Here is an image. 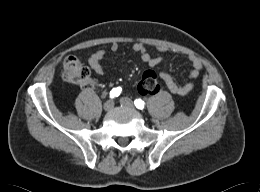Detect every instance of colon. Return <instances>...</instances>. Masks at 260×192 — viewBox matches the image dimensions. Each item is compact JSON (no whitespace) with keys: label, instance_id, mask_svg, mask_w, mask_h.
<instances>
[{"label":"colon","instance_id":"colon-1","mask_svg":"<svg viewBox=\"0 0 260 192\" xmlns=\"http://www.w3.org/2000/svg\"><path fill=\"white\" fill-rule=\"evenodd\" d=\"M63 78L67 82L75 83L85 89L91 88L94 84L89 69L75 57H69L65 60ZM152 87L153 91L157 89L156 81Z\"/></svg>","mask_w":260,"mask_h":192}]
</instances>
